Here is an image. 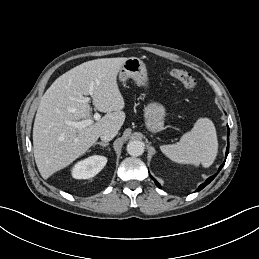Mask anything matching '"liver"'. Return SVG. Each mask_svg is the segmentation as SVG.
Here are the masks:
<instances>
[{
    "instance_id": "6515ba94",
    "label": "liver",
    "mask_w": 259,
    "mask_h": 259,
    "mask_svg": "<svg viewBox=\"0 0 259 259\" xmlns=\"http://www.w3.org/2000/svg\"><path fill=\"white\" fill-rule=\"evenodd\" d=\"M126 60L84 62L58 77L42 96L33 126V152L44 179L83 155L105 130H120L126 116L117 75ZM86 95L92 97L97 110L107 114L78 130L66 121L90 119Z\"/></svg>"
}]
</instances>
